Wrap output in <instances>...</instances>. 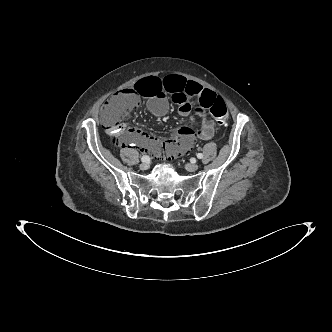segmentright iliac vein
<instances>
[{
	"instance_id": "63e3f726",
	"label": "right iliac vein",
	"mask_w": 332,
	"mask_h": 332,
	"mask_svg": "<svg viewBox=\"0 0 332 332\" xmlns=\"http://www.w3.org/2000/svg\"><path fill=\"white\" fill-rule=\"evenodd\" d=\"M139 167L141 170H147L149 168V164L147 162H143Z\"/></svg>"
}]
</instances>
